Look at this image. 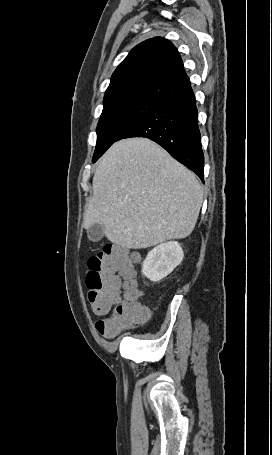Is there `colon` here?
Returning <instances> with one entry per match:
<instances>
[{"instance_id":"obj_1","label":"colon","mask_w":272,"mask_h":455,"mask_svg":"<svg viewBox=\"0 0 272 455\" xmlns=\"http://www.w3.org/2000/svg\"><path fill=\"white\" fill-rule=\"evenodd\" d=\"M135 261L127 248L116 244L104 245L87 260L88 301L95 314L106 316L96 322L97 331L105 337H114L147 317V308L139 302Z\"/></svg>"}]
</instances>
